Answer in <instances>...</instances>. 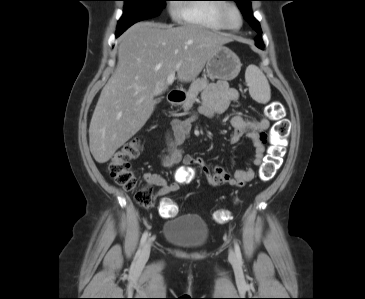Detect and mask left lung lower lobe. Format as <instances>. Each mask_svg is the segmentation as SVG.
Returning <instances> with one entry per match:
<instances>
[{"label": "left lung lower lobe", "mask_w": 365, "mask_h": 299, "mask_svg": "<svg viewBox=\"0 0 365 299\" xmlns=\"http://www.w3.org/2000/svg\"><path fill=\"white\" fill-rule=\"evenodd\" d=\"M255 41H256V46L260 49H264V44H263V41H262V38L260 36H257L255 38Z\"/></svg>", "instance_id": "left-lung-lower-lobe-1"}]
</instances>
